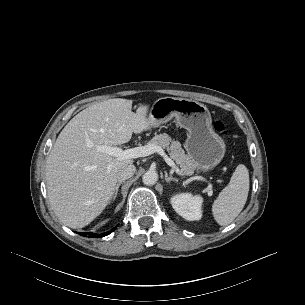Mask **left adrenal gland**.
Returning <instances> with one entry per match:
<instances>
[{
	"label": "left adrenal gland",
	"mask_w": 305,
	"mask_h": 305,
	"mask_svg": "<svg viewBox=\"0 0 305 305\" xmlns=\"http://www.w3.org/2000/svg\"><path fill=\"white\" fill-rule=\"evenodd\" d=\"M165 181H166L167 183H170L171 181H173V182H178L177 179L173 178L171 175L168 176L167 174H165Z\"/></svg>",
	"instance_id": "a2214340"
}]
</instances>
